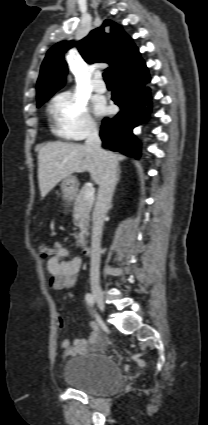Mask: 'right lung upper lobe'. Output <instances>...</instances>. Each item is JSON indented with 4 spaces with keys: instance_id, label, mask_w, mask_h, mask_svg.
<instances>
[{
    "instance_id": "cb5924a9",
    "label": "right lung upper lobe",
    "mask_w": 208,
    "mask_h": 425,
    "mask_svg": "<svg viewBox=\"0 0 208 425\" xmlns=\"http://www.w3.org/2000/svg\"><path fill=\"white\" fill-rule=\"evenodd\" d=\"M74 45L87 63H108L110 67L106 70L112 78L141 59L132 39L118 24L107 19L82 40L57 43L47 52L37 81V103L64 85L68 70L63 54Z\"/></svg>"
}]
</instances>
